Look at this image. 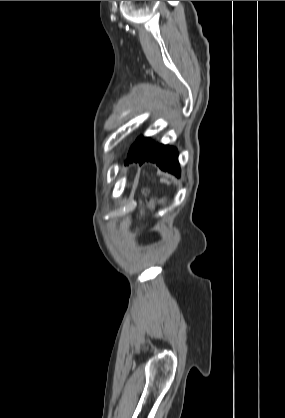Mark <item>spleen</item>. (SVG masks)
<instances>
[{
    "mask_svg": "<svg viewBox=\"0 0 285 418\" xmlns=\"http://www.w3.org/2000/svg\"><path fill=\"white\" fill-rule=\"evenodd\" d=\"M161 182H166V183H169L167 180H165V179H161L160 180Z\"/></svg>",
    "mask_w": 285,
    "mask_h": 418,
    "instance_id": "3e777b00",
    "label": "spleen"
}]
</instances>
